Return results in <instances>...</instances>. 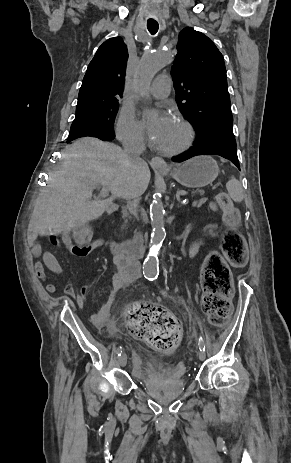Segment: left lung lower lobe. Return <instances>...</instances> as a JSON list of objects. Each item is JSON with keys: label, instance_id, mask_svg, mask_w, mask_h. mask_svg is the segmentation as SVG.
Returning a JSON list of instances; mask_svg holds the SVG:
<instances>
[{"label": "left lung lower lobe", "instance_id": "left-lung-lower-lobe-1", "mask_svg": "<svg viewBox=\"0 0 291 463\" xmlns=\"http://www.w3.org/2000/svg\"><path fill=\"white\" fill-rule=\"evenodd\" d=\"M199 155H219L230 160L240 170L236 146L198 139L194 141L193 147H191L187 152L174 157L173 161L182 162Z\"/></svg>", "mask_w": 291, "mask_h": 463}]
</instances>
